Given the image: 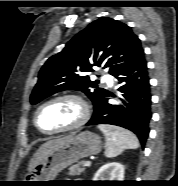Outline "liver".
<instances>
[{
    "instance_id": "1",
    "label": "liver",
    "mask_w": 178,
    "mask_h": 186,
    "mask_svg": "<svg viewBox=\"0 0 178 186\" xmlns=\"http://www.w3.org/2000/svg\"><path fill=\"white\" fill-rule=\"evenodd\" d=\"M72 135H67L63 137H58L56 139L50 140L44 143L34 154L28 165V171H31L38 163H40L53 149L62 145L67 141Z\"/></svg>"
}]
</instances>
